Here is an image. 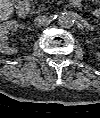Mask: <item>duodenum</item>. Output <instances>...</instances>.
<instances>
[{
	"mask_svg": "<svg viewBox=\"0 0 100 118\" xmlns=\"http://www.w3.org/2000/svg\"><path fill=\"white\" fill-rule=\"evenodd\" d=\"M69 2L70 5L74 8H77L80 5V0H69ZM27 10H28V3L26 2V0L21 1L18 5V12L21 15H24L27 12Z\"/></svg>",
	"mask_w": 100,
	"mask_h": 118,
	"instance_id": "1",
	"label": "duodenum"
}]
</instances>
